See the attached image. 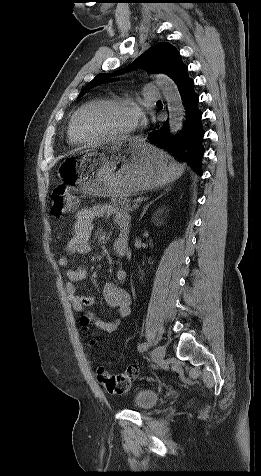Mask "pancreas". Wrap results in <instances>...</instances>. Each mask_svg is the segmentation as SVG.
Listing matches in <instances>:
<instances>
[{
  "instance_id": "obj_1",
  "label": "pancreas",
  "mask_w": 261,
  "mask_h": 476,
  "mask_svg": "<svg viewBox=\"0 0 261 476\" xmlns=\"http://www.w3.org/2000/svg\"><path fill=\"white\" fill-rule=\"evenodd\" d=\"M113 202L125 212H132L134 210V208L131 207V200L128 198L120 197L119 199H115Z\"/></svg>"
}]
</instances>
